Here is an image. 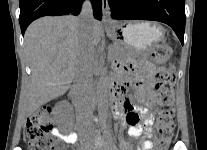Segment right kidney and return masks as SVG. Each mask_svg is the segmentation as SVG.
I'll use <instances>...</instances> for the list:
<instances>
[{
	"mask_svg": "<svg viewBox=\"0 0 207 150\" xmlns=\"http://www.w3.org/2000/svg\"><path fill=\"white\" fill-rule=\"evenodd\" d=\"M62 108H57L56 111L54 112L55 117L58 118L60 116V114L62 113Z\"/></svg>",
	"mask_w": 207,
	"mask_h": 150,
	"instance_id": "obj_1",
	"label": "right kidney"
}]
</instances>
